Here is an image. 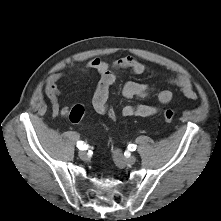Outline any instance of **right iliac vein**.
Masks as SVG:
<instances>
[{
  "label": "right iliac vein",
  "instance_id": "63e3f726",
  "mask_svg": "<svg viewBox=\"0 0 221 221\" xmlns=\"http://www.w3.org/2000/svg\"><path fill=\"white\" fill-rule=\"evenodd\" d=\"M79 157L82 159V160H87L88 159V153L86 151H80L79 152Z\"/></svg>",
  "mask_w": 221,
  "mask_h": 221
}]
</instances>
